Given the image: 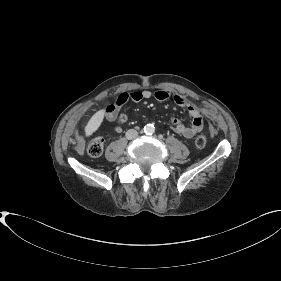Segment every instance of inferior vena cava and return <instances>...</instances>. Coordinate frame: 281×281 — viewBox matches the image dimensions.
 I'll use <instances>...</instances> for the list:
<instances>
[{"instance_id": "inferior-vena-cava-1", "label": "inferior vena cava", "mask_w": 281, "mask_h": 281, "mask_svg": "<svg viewBox=\"0 0 281 281\" xmlns=\"http://www.w3.org/2000/svg\"><path fill=\"white\" fill-rule=\"evenodd\" d=\"M138 136V132L134 129H129L127 132H126V138L131 140V139H134Z\"/></svg>"}]
</instances>
